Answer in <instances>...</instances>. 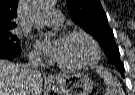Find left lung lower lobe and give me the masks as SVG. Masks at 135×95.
<instances>
[{"label":"left lung lower lobe","instance_id":"0a47b994","mask_svg":"<svg viewBox=\"0 0 135 95\" xmlns=\"http://www.w3.org/2000/svg\"><path fill=\"white\" fill-rule=\"evenodd\" d=\"M118 70L120 71L121 76L124 77V68H120V69H118Z\"/></svg>","mask_w":135,"mask_h":95}]
</instances>
